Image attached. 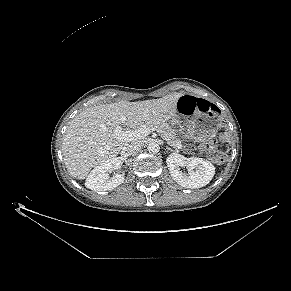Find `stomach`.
Wrapping results in <instances>:
<instances>
[{
  "mask_svg": "<svg viewBox=\"0 0 291 291\" xmlns=\"http://www.w3.org/2000/svg\"><path fill=\"white\" fill-rule=\"evenodd\" d=\"M175 127H179L183 133L194 140H203L213 137L221 126V117L216 111H206L195 114L190 118H181L175 114L171 120Z\"/></svg>",
  "mask_w": 291,
  "mask_h": 291,
  "instance_id": "stomach-1",
  "label": "stomach"
}]
</instances>
